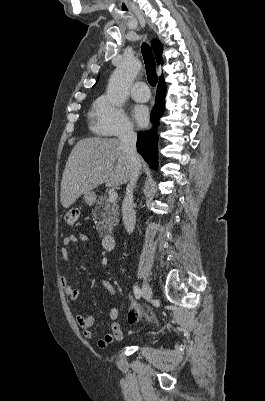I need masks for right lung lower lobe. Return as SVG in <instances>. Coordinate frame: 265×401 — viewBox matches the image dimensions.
<instances>
[{"mask_svg":"<svg viewBox=\"0 0 265 401\" xmlns=\"http://www.w3.org/2000/svg\"><path fill=\"white\" fill-rule=\"evenodd\" d=\"M166 84L161 82L157 87V94L155 99V106L151 113V122L154 127L148 131L139 132L137 139V150L149 166L153 169L157 167V141L158 135L156 127L159 124V118L164 112V100H165Z\"/></svg>","mask_w":265,"mask_h":401,"instance_id":"1","label":"right lung lower lobe"}]
</instances>
